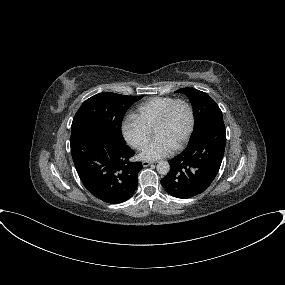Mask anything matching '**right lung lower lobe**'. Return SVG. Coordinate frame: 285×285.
I'll use <instances>...</instances> for the list:
<instances>
[{
	"instance_id": "98d812e1",
	"label": "right lung lower lobe",
	"mask_w": 285,
	"mask_h": 285,
	"mask_svg": "<svg viewBox=\"0 0 285 285\" xmlns=\"http://www.w3.org/2000/svg\"><path fill=\"white\" fill-rule=\"evenodd\" d=\"M70 146L77 173L92 195L117 204L134 194L143 166L130 161L134 152L126 144L106 134L77 129L71 131Z\"/></svg>"
}]
</instances>
